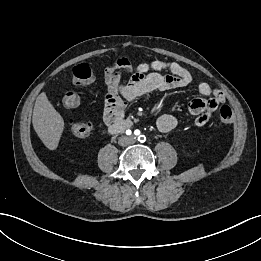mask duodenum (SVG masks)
Masks as SVG:
<instances>
[{"label":"duodenum","mask_w":261,"mask_h":261,"mask_svg":"<svg viewBox=\"0 0 261 261\" xmlns=\"http://www.w3.org/2000/svg\"><path fill=\"white\" fill-rule=\"evenodd\" d=\"M128 122L126 121H120L112 126L109 127V130L112 132V133H117V132H120L122 130H124L125 128L128 127Z\"/></svg>","instance_id":"410a0bca"}]
</instances>
